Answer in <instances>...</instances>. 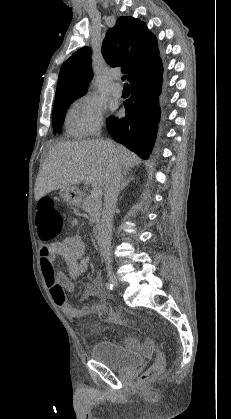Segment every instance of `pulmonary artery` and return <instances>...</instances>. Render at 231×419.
I'll list each match as a JSON object with an SVG mask.
<instances>
[{
    "instance_id": "e3ab8cb5",
    "label": "pulmonary artery",
    "mask_w": 231,
    "mask_h": 419,
    "mask_svg": "<svg viewBox=\"0 0 231 419\" xmlns=\"http://www.w3.org/2000/svg\"><path fill=\"white\" fill-rule=\"evenodd\" d=\"M111 93L115 97H120L123 93V89L118 82H115L110 89Z\"/></svg>"
}]
</instances>
